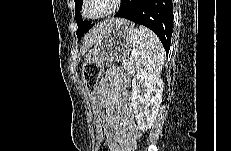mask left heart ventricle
I'll use <instances>...</instances> for the list:
<instances>
[{
    "mask_svg": "<svg viewBox=\"0 0 231 151\" xmlns=\"http://www.w3.org/2000/svg\"><path fill=\"white\" fill-rule=\"evenodd\" d=\"M105 0H94L93 5L89 8V12L97 13L105 9Z\"/></svg>",
    "mask_w": 231,
    "mask_h": 151,
    "instance_id": "b2bd125f",
    "label": "left heart ventricle"
}]
</instances>
